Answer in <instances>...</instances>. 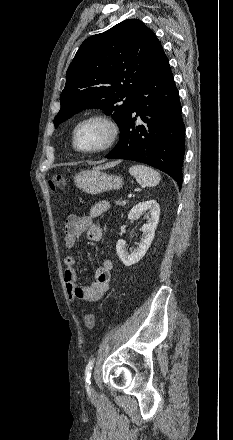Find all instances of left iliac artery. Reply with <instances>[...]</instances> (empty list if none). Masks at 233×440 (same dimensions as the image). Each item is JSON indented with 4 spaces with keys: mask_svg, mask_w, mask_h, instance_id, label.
Listing matches in <instances>:
<instances>
[{
    "mask_svg": "<svg viewBox=\"0 0 233 440\" xmlns=\"http://www.w3.org/2000/svg\"><path fill=\"white\" fill-rule=\"evenodd\" d=\"M94 362H95V359L93 358V359H91L90 361H89V363L87 364V366H86V369H85V381H86V385L88 384H90L91 383V381H90V377H91V371H92V368H93V366H94Z\"/></svg>",
    "mask_w": 233,
    "mask_h": 440,
    "instance_id": "44dca946",
    "label": "left iliac artery"
}]
</instances>
